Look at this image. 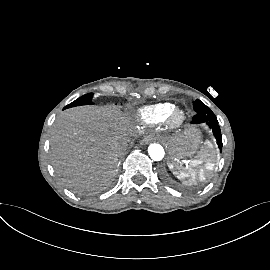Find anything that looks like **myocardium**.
<instances>
[{
  "mask_svg": "<svg viewBox=\"0 0 270 270\" xmlns=\"http://www.w3.org/2000/svg\"><path fill=\"white\" fill-rule=\"evenodd\" d=\"M186 111L180 107H175L167 118V124L172 129L180 128L186 121Z\"/></svg>",
  "mask_w": 270,
  "mask_h": 270,
  "instance_id": "1",
  "label": "myocardium"
}]
</instances>
